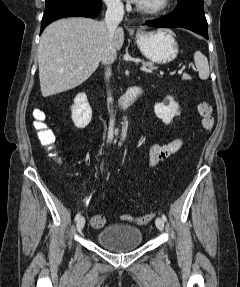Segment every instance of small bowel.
<instances>
[{
    "label": "small bowel",
    "instance_id": "1",
    "mask_svg": "<svg viewBox=\"0 0 240 287\" xmlns=\"http://www.w3.org/2000/svg\"><path fill=\"white\" fill-rule=\"evenodd\" d=\"M182 138H176L167 144H152L149 151V166L153 167L176 153L183 145Z\"/></svg>",
    "mask_w": 240,
    "mask_h": 287
}]
</instances>
